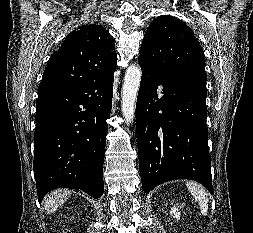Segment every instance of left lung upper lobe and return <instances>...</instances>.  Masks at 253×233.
Masks as SVG:
<instances>
[{"label":"left lung upper lobe","mask_w":253,"mask_h":233,"mask_svg":"<svg viewBox=\"0 0 253 233\" xmlns=\"http://www.w3.org/2000/svg\"><path fill=\"white\" fill-rule=\"evenodd\" d=\"M139 53L164 80L176 84L207 80L199 41L186 24L172 16H158L151 22Z\"/></svg>","instance_id":"1"}]
</instances>
